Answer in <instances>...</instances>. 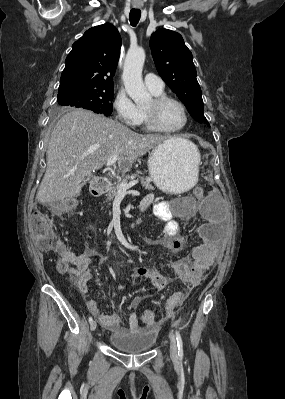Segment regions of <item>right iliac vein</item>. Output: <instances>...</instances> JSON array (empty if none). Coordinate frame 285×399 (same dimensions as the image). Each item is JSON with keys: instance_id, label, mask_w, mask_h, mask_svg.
Listing matches in <instances>:
<instances>
[{"instance_id": "right-iliac-vein-1", "label": "right iliac vein", "mask_w": 285, "mask_h": 399, "mask_svg": "<svg viewBox=\"0 0 285 399\" xmlns=\"http://www.w3.org/2000/svg\"><path fill=\"white\" fill-rule=\"evenodd\" d=\"M96 327H97V323L93 320V321L90 323V329H91V331H95V330H96Z\"/></svg>"}]
</instances>
